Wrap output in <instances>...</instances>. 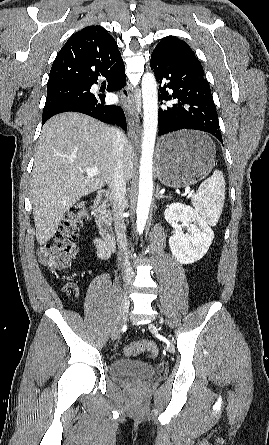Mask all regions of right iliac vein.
<instances>
[{
  "label": "right iliac vein",
  "instance_id": "obj_1",
  "mask_svg": "<svg viewBox=\"0 0 269 445\" xmlns=\"http://www.w3.org/2000/svg\"><path fill=\"white\" fill-rule=\"evenodd\" d=\"M128 309H129V298L126 293H123L119 301L116 319L114 321L112 328V333H111L112 340H116L119 337L121 329L126 321Z\"/></svg>",
  "mask_w": 269,
  "mask_h": 445
}]
</instances>
